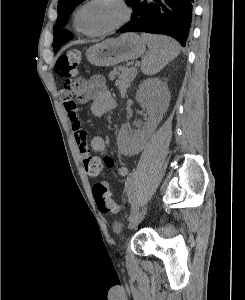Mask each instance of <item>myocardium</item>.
<instances>
[{"label": "myocardium", "instance_id": "myocardium-1", "mask_svg": "<svg viewBox=\"0 0 245 300\" xmlns=\"http://www.w3.org/2000/svg\"><path fill=\"white\" fill-rule=\"evenodd\" d=\"M98 0H86L77 10L76 12V16H75V21L76 24L78 26V28L85 33L86 35L89 36H104L107 34H110L118 29H120L121 27H123L131 18L132 16V10L129 7L128 3L126 0H112L114 3H116L117 5H119V7L122 9V18L120 19L119 22H117L115 25L101 30V31H88L87 29H85V27L82 24V13L85 10L86 7H88L90 4L96 2Z\"/></svg>", "mask_w": 245, "mask_h": 300}]
</instances>
